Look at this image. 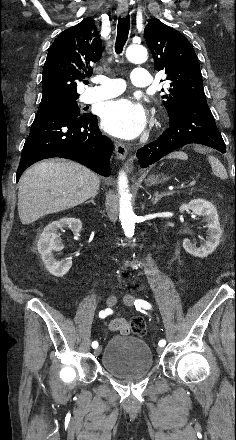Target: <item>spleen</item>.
Here are the masks:
<instances>
[{"label":"spleen","mask_w":236,"mask_h":440,"mask_svg":"<svg viewBox=\"0 0 236 440\" xmlns=\"http://www.w3.org/2000/svg\"><path fill=\"white\" fill-rule=\"evenodd\" d=\"M208 159L211 164L213 172L217 176H219L221 179H227V177H228L227 172H226L224 166L222 165V163L213 156H209Z\"/></svg>","instance_id":"spleen-1"}]
</instances>
